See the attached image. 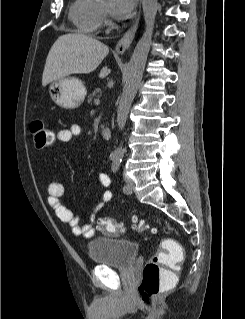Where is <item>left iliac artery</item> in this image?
<instances>
[{
    "instance_id": "44dca946",
    "label": "left iliac artery",
    "mask_w": 245,
    "mask_h": 319,
    "mask_svg": "<svg viewBox=\"0 0 245 319\" xmlns=\"http://www.w3.org/2000/svg\"><path fill=\"white\" fill-rule=\"evenodd\" d=\"M120 163H121V160H119V159L114 160L112 167H111V169L114 173L118 172V170L120 168ZM126 190H128V187H127V185H124L123 191H126Z\"/></svg>"
}]
</instances>
